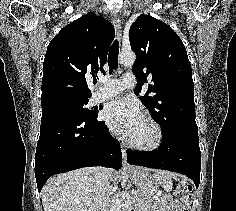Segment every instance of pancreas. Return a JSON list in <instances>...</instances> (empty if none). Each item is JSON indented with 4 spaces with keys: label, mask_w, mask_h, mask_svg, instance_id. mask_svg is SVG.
Segmentation results:
<instances>
[{
    "label": "pancreas",
    "mask_w": 236,
    "mask_h": 211,
    "mask_svg": "<svg viewBox=\"0 0 236 211\" xmlns=\"http://www.w3.org/2000/svg\"><path fill=\"white\" fill-rule=\"evenodd\" d=\"M134 199V206L136 211H149L153 206V203L158 205L159 201L148 200L144 197V194L138 190L132 194Z\"/></svg>",
    "instance_id": "cf45deb5"
}]
</instances>
